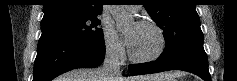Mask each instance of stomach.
<instances>
[{"mask_svg":"<svg viewBox=\"0 0 237 81\" xmlns=\"http://www.w3.org/2000/svg\"><path fill=\"white\" fill-rule=\"evenodd\" d=\"M152 81H168V80H166L164 78H157V79H153Z\"/></svg>","mask_w":237,"mask_h":81,"instance_id":"1","label":"stomach"}]
</instances>
